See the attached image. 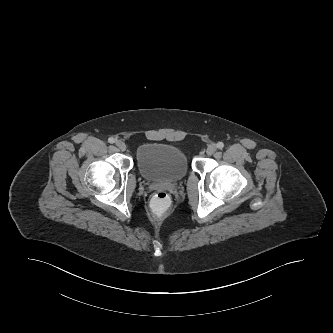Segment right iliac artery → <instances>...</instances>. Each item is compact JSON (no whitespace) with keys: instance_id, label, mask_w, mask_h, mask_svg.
<instances>
[{"instance_id":"1","label":"right iliac artery","mask_w":333,"mask_h":333,"mask_svg":"<svg viewBox=\"0 0 333 333\" xmlns=\"http://www.w3.org/2000/svg\"><path fill=\"white\" fill-rule=\"evenodd\" d=\"M108 142H109V143H114V142H115V139H114L113 137H110V138L108 139Z\"/></svg>"}]
</instances>
